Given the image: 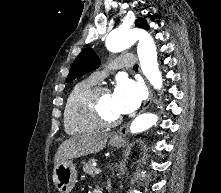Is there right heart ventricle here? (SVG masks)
I'll return each mask as SVG.
<instances>
[{
    "label": "right heart ventricle",
    "instance_id": "e07e8e85",
    "mask_svg": "<svg viewBox=\"0 0 221 193\" xmlns=\"http://www.w3.org/2000/svg\"><path fill=\"white\" fill-rule=\"evenodd\" d=\"M96 85L93 78L77 82L69 92L64 107V128L69 135L88 134L97 131L100 126L85 118L79 110L82 96Z\"/></svg>",
    "mask_w": 221,
    "mask_h": 193
}]
</instances>
